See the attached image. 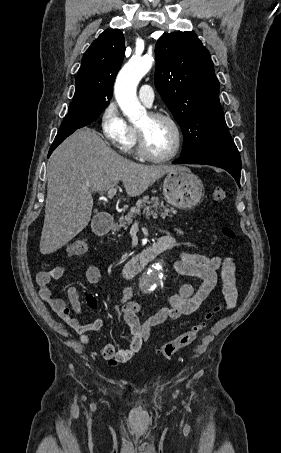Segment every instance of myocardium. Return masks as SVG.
Instances as JSON below:
<instances>
[{
    "label": "myocardium",
    "mask_w": 281,
    "mask_h": 453,
    "mask_svg": "<svg viewBox=\"0 0 281 453\" xmlns=\"http://www.w3.org/2000/svg\"><path fill=\"white\" fill-rule=\"evenodd\" d=\"M147 116L150 119V121H153V122L154 121L167 122L174 131L175 141L168 154L156 155V154L152 153L149 150V148L147 147L145 132L140 127H137V150H138L139 155H141L142 157H144L148 160L154 161V162H166V161L173 159L177 155V153L180 149V146H181V142H182V131H181L180 126L178 125V123L176 122V120L174 118H172L171 116L164 114V113L151 112V113L147 114Z\"/></svg>",
    "instance_id": "myocardium-1"
}]
</instances>
